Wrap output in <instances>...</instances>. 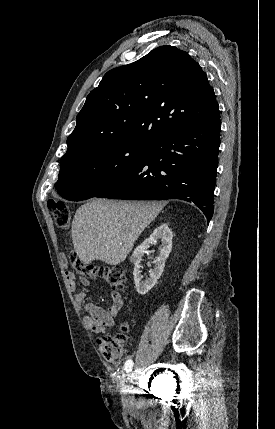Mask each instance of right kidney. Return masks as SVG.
Wrapping results in <instances>:
<instances>
[{"label":"right kidney","mask_w":275,"mask_h":429,"mask_svg":"<svg viewBox=\"0 0 275 429\" xmlns=\"http://www.w3.org/2000/svg\"><path fill=\"white\" fill-rule=\"evenodd\" d=\"M172 237L173 233L168 225L161 224L153 231L149 238L145 239L143 243L134 250L132 256L130 257V261L134 263L133 275L138 294L145 295L148 293V291L154 287L160 278L165 266V261L172 249ZM157 240L161 241V245L159 247L160 254L154 261L155 268L150 270L149 278L143 280L140 266L143 253L151 244L156 243Z\"/></svg>","instance_id":"ca27d5eb"}]
</instances>
